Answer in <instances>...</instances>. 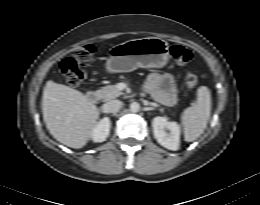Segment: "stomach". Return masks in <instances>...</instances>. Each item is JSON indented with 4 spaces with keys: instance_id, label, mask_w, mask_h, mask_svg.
I'll use <instances>...</instances> for the list:
<instances>
[{
    "instance_id": "stomach-1",
    "label": "stomach",
    "mask_w": 260,
    "mask_h": 205,
    "mask_svg": "<svg viewBox=\"0 0 260 205\" xmlns=\"http://www.w3.org/2000/svg\"><path fill=\"white\" fill-rule=\"evenodd\" d=\"M168 43L158 37L132 39L111 49L106 68L109 73L129 72L136 68H162L169 61Z\"/></svg>"
}]
</instances>
